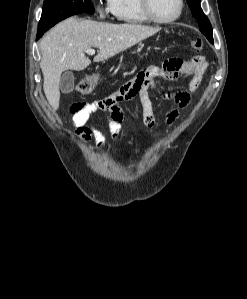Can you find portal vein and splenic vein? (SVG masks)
Returning a JSON list of instances; mask_svg holds the SVG:
<instances>
[{"instance_id":"1","label":"portal vein and splenic vein","mask_w":247,"mask_h":299,"mask_svg":"<svg viewBox=\"0 0 247 299\" xmlns=\"http://www.w3.org/2000/svg\"><path fill=\"white\" fill-rule=\"evenodd\" d=\"M87 53H88V54H94V53H95V50H94V49H91V48H89V49H87Z\"/></svg>"}]
</instances>
